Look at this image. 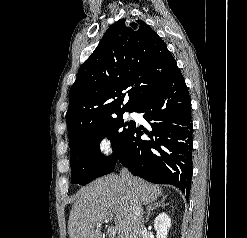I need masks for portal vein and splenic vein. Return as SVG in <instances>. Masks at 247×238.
<instances>
[{"mask_svg":"<svg viewBox=\"0 0 247 238\" xmlns=\"http://www.w3.org/2000/svg\"><path fill=\"white\" fill-rule=\"evenodd\" d=\"M112 217V215H110V218ZM104 220V219H103ZM105 221H107V219H105ZM116 228L115 227H109L108 228V233L109 235L112 237H114L116 235Z\"/></svg>","mask_w":247,"mask_h":238,"instance_id":"portal-vein-and-splenic-vein-1","label":"portal vein and splenic vein"}]
</instances>
